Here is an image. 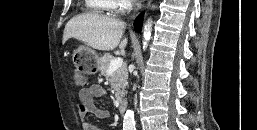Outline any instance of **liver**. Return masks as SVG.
Masks as SVG:
<instances>
[{
  "label": "liver",
  "instance_id": "6515ba94",
  "mask_svg": "<svg viewBox=\"0 0 257 130\" xmlns=\"http://www.w3.org/2000/svg\"><path fill=\"white\" fill-rule=\"evenodd\" d=\"M126 24L118 19L94 13L73 17L66 24L63 32V43L69 38H76L87 46L97 50L109 51L118 45L124 49L128 40L121 43Z\"/></svg>",
  "mask_w": 257,
  "mask_h": 130
}]
</instances>
